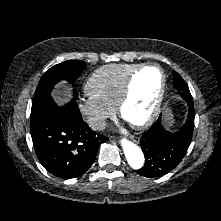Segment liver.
Instances as JSON below:
<instances>
[{"label": "liver", "mask_w": 221, "mask_h": 221, "mask_svg": "<svg viewBox=\"0 0 221 221\" xmlns=\"http://www.w3.org/2000/svg\"><path fill=\"white\" fill-rule=\"evenodd\" d=\"M71 97V90L67 85H58L57 89L53 92V98L58 104H63L69 101Z\"/></svg>", "instance_id": "1"}]
</instances>
